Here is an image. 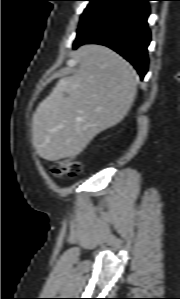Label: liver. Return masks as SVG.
<instances>
[{
  "label": "liver",
  "instance_id": "liver-1",
  "mask_svg": "<svg viewBox=\"0 0 180 299\" xmlns=\"http://www.w3.org/2000/svg\"><path fill=\"white\" fill-rule=\"evenodd\" d=\"M78 63L33 114L32 143L48 161L79 155L97 134L123 120L136 97L135 70L111 49L84 45Z\"/></svg>",
  "mask_w": 180,
  "mask_h": 299
}]
</instances>
